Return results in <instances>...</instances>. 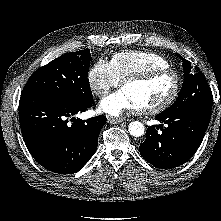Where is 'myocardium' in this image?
Instances as JSON below:
<instances>
[{
    "instance_id": "1",
    "label": "myocardium",
    "mask_w": 221,
    "mask_h": 221,
    "mask_svg": "<svg viewBox=\"0 0 221 221\" xmlns=\"http://www.w3.org/2000/svg\"><path fill=\"white\" fill-rule=\"evenodd\" d=\"M163 75H171L174 78V87L171 94L164 101H162L157 105L139 109L140 113L157 114L169 108L179 96L182 85L181 75L176 70L170 67L157 68L129 76L122 81V88H123L127 84L146 83Z\"/></svg>"
}]
</instances>
